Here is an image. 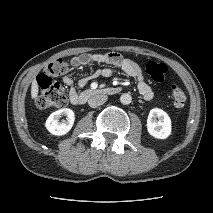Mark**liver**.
I'll use <instances>...</instances> for the list:
<instances>
[{"label":"liver","instance_id":"1","mask_svg":"<svg viewBox=\"0 0 213 213\" xmlns=\"http://www.w3.org/2000/svg\"><path fill=\"white\" fill-rule=\"evenodd\" d=\"M38 92H39V90H38V84H37V82L34 80V81L32 82V86H31V97H32V99H35V98L37 97Z\"/></svg>","mask_w":213,"mask_h":213}]
</instances>
